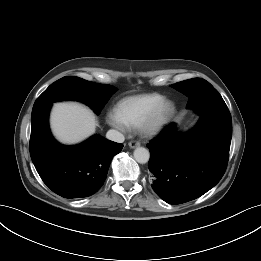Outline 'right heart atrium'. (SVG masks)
I'll return each mask as SVG.
<instances>
[{
  "mask_svg": "<svg viewBox=\"0 0 261 261\" xmlns=\"http://www.w3.org/2000/svg\"><path fill=\"white\" fill-rule=\"evenodd\" d=\"M107 122L114 128L125 132L128 130V126L118 117L115 111H110L107 113Z\"/></svg>",
  "mask_w": 261,
  "mask_h": 261,
  "instance_id": "1",
  "label": "right heart atrium"
}]
</instances>
